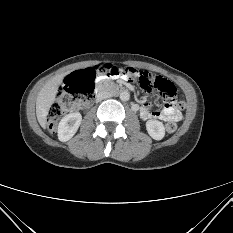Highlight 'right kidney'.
Wrapping results in <instances>:
<instances>
[{
  "label": "right kidney",
  "instance_id": "ca27d5eb",
  "mask_svg": "<svg viewBox=\"0 0 233 233\" xmlns=\"http://www.w3.org/2000/svg\"><path fill=\"white\" fill-rule=\"evenodd\" d=\"M82 121V115L79 112L70 113L64 116L58 125V139L66 142L77 132Z\"/></svg>",
  "mask_w": 233,
  "mask_h": 233
}]
</instances>
